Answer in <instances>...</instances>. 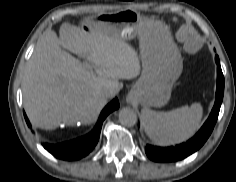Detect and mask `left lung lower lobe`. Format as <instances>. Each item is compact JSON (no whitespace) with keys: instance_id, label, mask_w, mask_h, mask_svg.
<instances>
[{"instance_id":"0a47b994","label":"left lung lower lobe","mask_w":236,"mask_h":182,"mask_svg":"<svg viewBox=\"0 0 236 182\" xmlns=\"http://www.w3.org/2000/svg\"><path fill=\"white\" fill-rule=\"evenodd\" d=\"M217 90L214 107L207 121L204 123L199 132L186 143L177 145L175 147H156L152 145H146L145 152L147 156L156 162H172L186 158L195 151H197L210 136L216 120L219 115L220 106L223 100L224 94V76L220 67V61L217 56Z\"/></svg>"}]
</instances>
